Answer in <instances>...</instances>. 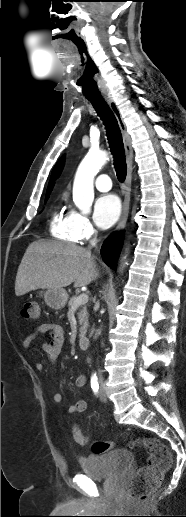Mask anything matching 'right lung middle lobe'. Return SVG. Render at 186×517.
<instances>
[{
  "instance_id": "1",
  "label": "right lung middle lobe",
  "mask_w": 186,
  "mask_h": 517,
  "mask_svg": "<svg viewBox=\"0 0 186 517\" xmlns=\"http://www.w3.org/2000/svg\"><path fill=\"white\" fill-rule=\"evenodd\" d=\"M49 194H50V191L46 193L45 201H47V199H48V197H49Z\"/></svg>"
}]
</instances>
